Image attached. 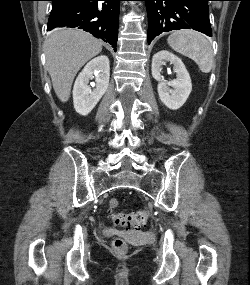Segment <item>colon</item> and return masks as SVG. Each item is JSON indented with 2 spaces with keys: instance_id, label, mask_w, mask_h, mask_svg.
<instances>
[{
  "instance_id": "5ec220e1",
  "label": "colon",
  "mask_w": 250,
  "mask_h": 285,
  "mask_svg": "<svg viewBox=\"0 0 250 285\" xmlns=\"http://www.w3.org/2000/svg\"><path fill=\"white\" fill-rule=\"evenodd\" d=\"M119 206L116 198L109 200L108 209L110 217L116 226L123 228H141L146 226L150 212L148 209H142L131 213H116ZM112 248L117 254H125L128 250L127 242L124 239L116 238L112 242Z\"/></svg>"
}]
</instances>
